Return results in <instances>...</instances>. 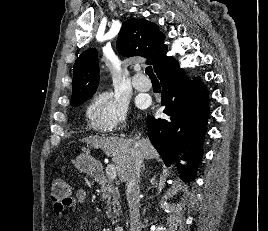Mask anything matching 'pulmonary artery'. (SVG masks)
<instances>
[{
    "instance_id": "e3ab8cb5",
    "label": "pulmonary artery",
    "mask_w": 268,
    "mask_h": 231,
    "mask_svg": "<svg viewBox=\"0 0 268 231\" xmlns=\"http://www.w3.org/2000/svg\"><path fill=\"white\" fill-rule=\"evenodd\" d=\"M134 88L139 92H147L151 88V82L141 73H137L132 80Z\"/></svg>"
}]
</instances>
